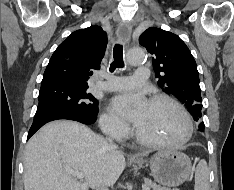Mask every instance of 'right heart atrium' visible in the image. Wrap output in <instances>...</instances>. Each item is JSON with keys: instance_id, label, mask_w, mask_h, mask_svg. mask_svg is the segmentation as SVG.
<instances>
[{"instance_id": "d8ad5b80", "label": "right heart atrium", "mask_w": 234, "mask_h": 190, "mask_svg": "<svg viewBox=\"0 0 234 190\" xmlns=\"http://www.w3.org/2000/svg\"><path fill=\"white\" fill-rule=\"evenodd\" d=\"M100 125L103 132L117 138L125 137L129 131L128 125L111 113H104L101 116Z\"/></svg>"}]
</instances>
